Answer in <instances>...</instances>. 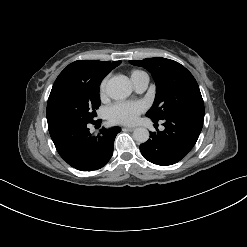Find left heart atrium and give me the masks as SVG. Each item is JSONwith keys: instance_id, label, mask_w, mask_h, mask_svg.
Instances as JSON below:
<instances>
[{"instance_id": "1", "label": "left heart atrium", "mask_w": 247, "mask_h": 247, "mask_svg": "<svg viewBox=\"0 0 247 247\" xmlns=\"http://www.w3.org/2000/svg\"><path fill=\"white\" fill-rule=\"evenodd\" d=\"M145 109L140 101L118 102L109 108L108 117L113 123L132 124Z\"/></svg>"}]
</instances>
